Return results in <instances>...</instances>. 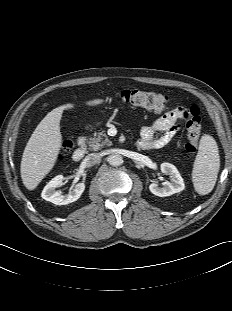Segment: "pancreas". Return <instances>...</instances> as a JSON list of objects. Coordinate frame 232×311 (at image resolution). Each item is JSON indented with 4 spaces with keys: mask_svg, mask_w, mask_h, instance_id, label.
I'll return each mask as SVG.
<instances>
[{
    "mask_svg": "<svg viewBox=\"0 0 232 311\" xmlns=\"http://www.w3.org/2000/svg\"><path fill=\"white\" fill-rule=\"evenodd\" d=\"M89 150L97 151L103 148L104 146H111L112 142L107 138L106 133L99 132L94 134L93 137H90L87 141Z\"/></svg>",
    "mask_w": 232,
    "mask_h": 311,
    "instance_id": "obj_1",
    "label": "pancreas"
}]
</instances>
